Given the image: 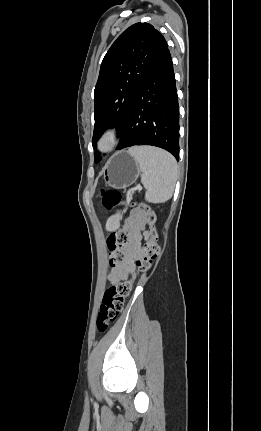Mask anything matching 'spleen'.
<instances>
[{
    "label": "spleen",
    "instance_id": "spleen-1",
    "mask_svg": "<svg viewBox=\"0 0 261 431\" xmlns=\"http://www.w3.org/2000/svg\"><path fill=\"white\" fill-rule=\"evenodd\" d=\"M128 153L139 165L141 182L146 189L145 199L151 203L169 200L177 179L175 158L167 151L147 146L132 147Z\"/></svg>",
    "mask_w": 261,
    "mask_h": 431
}]
</instances>
